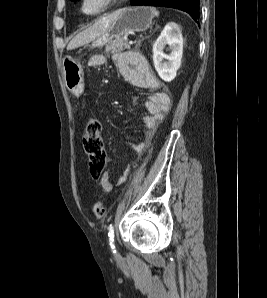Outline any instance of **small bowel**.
Wrapping results in <instances>:
<instances>
[{
  "label": "small bowel",
  "instance_id": "obj_1",
  "mask_svg": "<svg viewBox=\"0 0 267 298\" xmlns=\"http://www.w3.org/2000/svg\"><path fill=\"white\" fill-rule=\"evenodd\" d=\"M113 61L127 81L137 87L154 91L146 101L149 114L143 118L145 136L149 137L168 113L171 105L170 97L162 90V83L156 78L149 61L142 54L136 51H125L113 55ZM105 62L106 58L103 55H95L90 58L89 67L97 68ZM124 180L125 176H121L117 184H122ZM100 186L103 193H109L113 189L108 173L101 175Z\"/></svg>",
  "mask_w": 267,
  "mask_h": 298
}]
</instances>
